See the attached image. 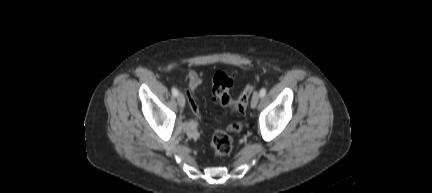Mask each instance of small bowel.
<instances>
[{
  "mask_svg": "<svg viewBox=\"0 0 432 193\" xmlns=\"http://www.w3.org/2000/svg\"><path fill=\"white\" fill-rule=\"evenodd\" d=\"M201 83H202V78L196 71H190L188 73L187 91L189 95V106L192 112L196 115H199V106L194 96V93ZM228 129L232 132H239L241 130V124L233 123L229 126Z\"/></svg>",
  "mask_w": 432,
  "mask_h": 193,
  "instance_id": "obj_1",
  "label": "small bowel"
}]
</instances>
